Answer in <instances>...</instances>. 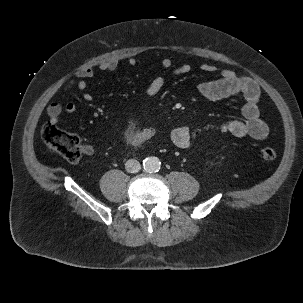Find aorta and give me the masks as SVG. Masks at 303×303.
Returning a JSON list of instances; mask_svg holds the SVG:
<instances>
[{"label": "aorta", "instance_id": "762f6f07", "mask_svg": "<svg viewBox=\"0 0 303 303\" xmlns=\"http://www.w3.org/2000/svg\"><path fill=\"white\" fill-rule=\"evenodd\" d=\"M161 167V162L158 157L150 156L144 159L143 168L146 172L153 173L158 172Z\"/></svg>", "mask_w": 303, "mask_h": 303}]
</instances>
